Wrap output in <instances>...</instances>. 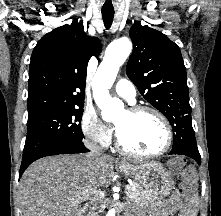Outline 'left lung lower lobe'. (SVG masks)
<instances>
[{
  "label": "left lung lower lobe",
  "instance_id": "1",
  "mask_svg": "<svg viewBox=\"0 0 221 216\" xmlns=\"http://www.w3.org/2000/svg\"><path fill=\"white\" fill-rule=\"evenodd\" d=\"M171 154H180V155H186L188 157H191L192 159H194L199 165L201 164V157L199 153H193L191 151L188 150H184V149H173L171 150V152L169 153Z\"/></svg>",
  "mask_w": 221,
  "mask_h": 216
}]
</instances>
